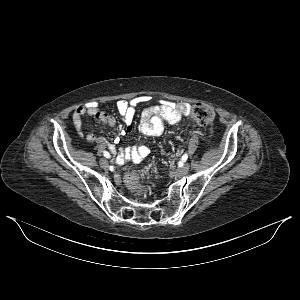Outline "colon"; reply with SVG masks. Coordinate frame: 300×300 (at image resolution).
I'll return each mask as SVG.
<instances>
[{
  "instance_id": "obj_1",
  "label": "colon",
  "mask_w": 300,
  "mask_h": 300,
  "mask_svg": "<svg viewBox=\"0 0 300 300\" xmlns=\"http://www.w3.org/2000/svg\"><path fill=\"white\" fill-rule=\"evenodd\" d=\"M192 118L200 125H210L214 121V112L212 108L204 103H196L192 108ZM126 185L135 192L144 190L141 178L136 173H129L125 177Z\"/></svg>"
}]
</instances>
